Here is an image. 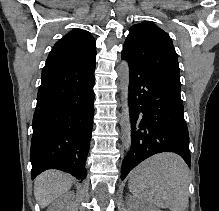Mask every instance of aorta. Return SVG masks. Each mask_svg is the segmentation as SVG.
<instances>
[{
  "mask_svg": "<svg viewBox=\"0 0 219 211\" xmlns=\"http://www.w3.org/2000/svg\"><path fill=\"white\" fill-rule=\"evenodd\" d=\"M119 75V90L121 98V113H120V127H121V141L123 149L128 152L131 147V121L129 109V64L123 60L118 66Z\"/></svg>",
  "mask_w": 219,
  "mask_h": 211,
  "instance_id": "aorta-1",
  "label": "aorta"
}]
</instances>
